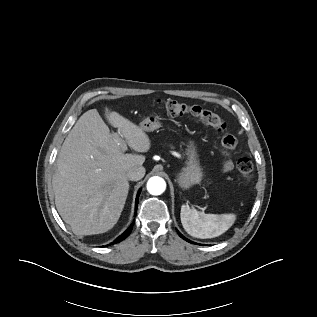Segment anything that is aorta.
<instances>
[{"instance_id":"762f6f07","label":"aorta","mask_w":317,"mask_h":317,"mask_svg":"<svg viewBox=\"0 0 317 317\" xmlns=\"http://www.w3.org/2000/svg\"><path fill=\"white\" fill-rule=\"evenodd\" d=\"M166 189V182L159 176L151 177L147 182V191L151 195H161Z\"/></svg>"}]
</instances>
